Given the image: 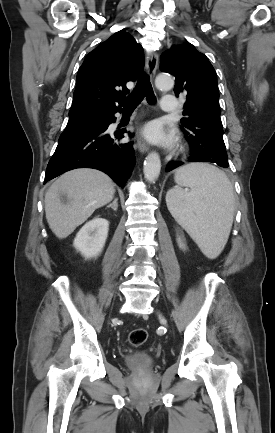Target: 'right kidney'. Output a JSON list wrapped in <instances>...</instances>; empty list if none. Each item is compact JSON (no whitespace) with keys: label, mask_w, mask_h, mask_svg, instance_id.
Here are the masks:
<instances>
[{"label":"right kidney","mask_w":275,"mask_h":433,"mask_svg":"<svg viewBox=\"0 0 275 433\" xmlns=\"http://www.w3.org/2000/svg\"><path fill=\"white\" fill-rule=\"evenodd\" d=\"M109 222L99 216L87 222L77 233L73 245L85 258L98 256L105 245Z\"/></svg>","instance_id":"right-kidney-1"}]
</instances>
